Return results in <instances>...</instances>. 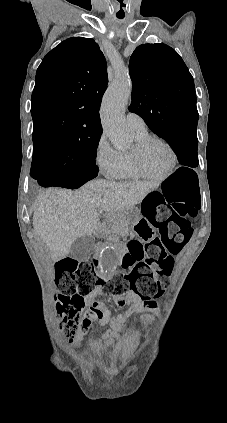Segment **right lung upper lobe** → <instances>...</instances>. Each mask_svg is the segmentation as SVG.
I'll return each instance as SVG.
<instances>
[{
  "instance_id": "obj_1",
  "label": "right lung upper lobe",
  "mask_w": 227,
  "mask_h": 423,
  "mask_svg": "<svg viewBox=\"0 0 227 423\" xmlns=\"http://www.w3.org/2000/svg\"><path fill=\"white\" fill-rule=\"evenodd\" d=\"M107 82L106 61L93 39L69 38L50 51L37 69L31 99L34 150L101 134Z\"/></svg>"
}]
</instances>
